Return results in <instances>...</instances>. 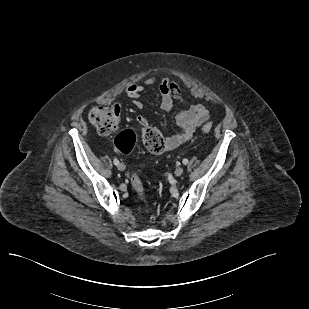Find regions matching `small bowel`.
<instances>
[{
	"label": "small bowel",
	"instance_id": "obj_1",
	"mask_svg": "<svg viewBox=\"0 0 309 309\" xmlns=\"http://www.w3.org/2000/svg\"><path fill=\"white\" fill-rule=\"evenodd\" d=\"M157 87L161 95V108L170 111L175 102L180 105V110L175 117L176 132L165 140L164 150H174L188 141L194 132L209 119V110L203 104H190L181 95L178 82L170 77L158 80L156 77H149L140 84H131L125 89V95L132 100L133 104L141 109L143 102L141 95ZM138 123L146 128L148 122L145 117L138 116Z\"/></svg>",
	"mask_w": 309,
	"mask_h": 309
}]
</instances>
